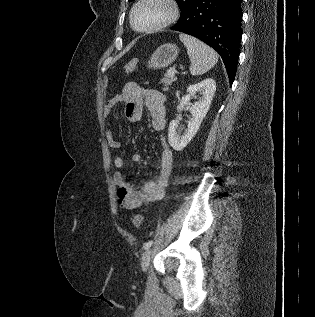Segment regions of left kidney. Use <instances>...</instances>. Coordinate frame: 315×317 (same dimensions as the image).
I'll list each match as a JSON object with an SVG mask.
<instances>
[{"instance_id":"obj_1","label":"left kidney","mask_w":315,"mask_h":317,"mask_svg":"<svg viewBox=\"0 0 315 317\" xmlns=\"http://www.w3.org/2000/svg\"><path fill=\"white\" fill-rule=\"evenodd\" d=\"M216 90V82L212 78L205 79L200 83L190 85L187 88V94L182 97L177 110L180 111L184 106L190 104V98L196 93H200L201 98L191 106V118L188 121L187 129L183 135L177 132V121H171L168 129V141L170 146L181 151L187 146L191 139L197 133L204 117L206 116Z\"/></svg>"}]
</instances>
